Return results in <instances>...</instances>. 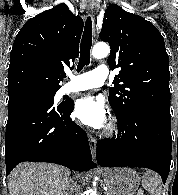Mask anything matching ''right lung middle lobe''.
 Masks as SVG:
<instances>
[{
  "instance_id": "obj_1",
  "label": "right lung middle lobe",
  "mask_w": 178,
  "mask_h": 195,
  "mask_svg": "<svg viewBox=\"0 0 178 195\" xmlns=\"http://www.w3.org/2000/svg\"><path fill=\"white\" fill-rule=\"evenodd\" d=\"M56 91L57 90H30L9 97V102L17 99H30V100H37L41 102H54V95Z\"/></svg>"
}]
</instances>
